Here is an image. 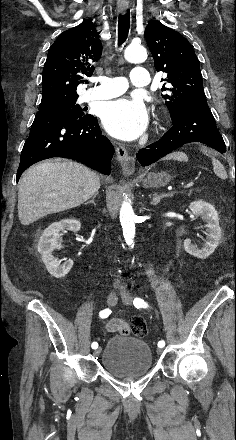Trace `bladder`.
<instances>
[{"mask_svg":"<svg viewBox=\"0 0 236 440\" xmlns=\"http://www.w3.org/2000/svg\"><path fill=\"white\" fill-rule=\"evenodd\" d=\"M101 361L106 371L119 378L143 375L153 367L150 346L128 336L112 337L101 353Z\"/></svg>","mask_w":236,"mask_h":440,"instance_id":"bladder-1","label":"bladder"}]
</instances>
